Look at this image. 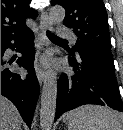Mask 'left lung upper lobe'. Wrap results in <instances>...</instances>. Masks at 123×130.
Instances as JSON below:
<instances>
[{
	"label": "left lung upper lobe",
	"mask_w": 123,
	"mask_h": 130,
	"mask_svg": "<svg viewBox=\"0 0 123 130\" xmlns=\"http://www.w3.org/2000/svg\"><path fill=\"white\" fill-rule=\"evenodd\" d=\"M66 10L64 25L78 37L71 54L87 53L113 61L108 19L102 0H51Z\"/></svg>",
	"instance_id": "1"
}]
</instances>
